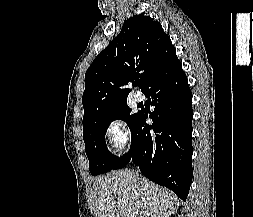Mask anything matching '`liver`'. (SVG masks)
Wrapping results in <instances>:
<instances>
[{
	"instance_id": "liver-1",
	"label": "liver",
	"mask_w": 253,
	"mask_h": 217,
	"mask_svg": "<svg viewBox=\"0 0 253 217\" xmlns=\"http://www.w3.org/2000/svg\"><path fill=\"white\" fill-rule=\"evenodd\" d=\"M178 198L143 176L119 170L95 177L89 206L95 217H169Z\"/></svg>"
}]
</instances>
